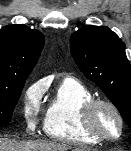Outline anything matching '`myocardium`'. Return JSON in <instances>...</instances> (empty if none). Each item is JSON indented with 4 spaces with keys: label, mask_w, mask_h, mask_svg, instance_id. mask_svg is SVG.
<instances>
[{
    "label": "myocardium",
    "mask_w": 131,
    "mask_h": 151,
    "mask_svg": "<svg viewBox=\"0 0 131 151\" xmlns=\"http://www.w3.org/2000/svg\"><path fill=\"white\" fill-rule=\"evenodd\" d=\"M108 108L113 112L119 122V132L116 136L103 134L96 125V115L100 108ZM82 124L84 129L93 137L100 141L113 142L118 140L125 128V121L119 108L111 101L102 98H92L82 109Z\"/></svg>",
    "instance_id": "myocardium-1"
}]
</instances>
